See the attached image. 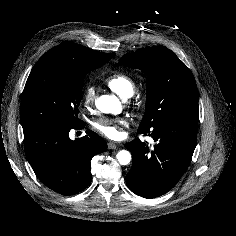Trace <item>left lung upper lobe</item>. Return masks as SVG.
Returning <instances> with one entry per match:
<instances>
[{
	"label": "left lung upper lobe",
	"mask_w": 236,
	"mask_h": 236,
	"mask_svg": "<svg viewBox=\"0 0 236 236\" xmlns=\"http://www.w3.org/2000/svg\"><path fill=\"white\" fill-rule=\"evenodd\" d=\"M119 65L147 75L145 114L138 128L150 130L169 120L198 122V90L191 70L166 47H148L121 57Z\"/></svg>",
	"instance_id": "1"
}]
</instances>
